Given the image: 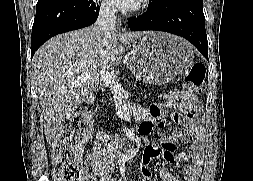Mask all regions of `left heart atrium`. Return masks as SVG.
<instances>
[{"label":"left heart atrium","instance_id":"1","mask_svg":"<svg viewBox=\"0 0 253 181\" xmlns=\"http://www.w3.org/2000/svg\"><path fill=\"white\" fill-rule=\"evenodd\" d=\"M112 2L121 9L133 10L139 6L141 0H112Z\"/></svg>","mask_w":253,"mask_h":181}]
</instances>
